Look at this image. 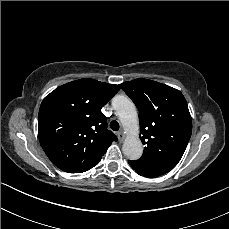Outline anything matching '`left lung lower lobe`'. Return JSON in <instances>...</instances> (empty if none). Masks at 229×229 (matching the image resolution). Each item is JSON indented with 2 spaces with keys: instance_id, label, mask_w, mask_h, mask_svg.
Segmentation results:
<instances>
[{
  "instance_id": "obj_1",
  "label": "left lung lower lobe",
  "mask_w": 229,
  "mask_h": 229,
  "mask_svg": "<svg viewBox=\"0 0 229 229\" xmlns=\"http://www.w3.org/2000/svg\"><path fill=\"white\" fill-rule=\"evenodd\" d=\"M130 166L139 174V175H143L146 177H152L150 174L146 173L145 171L139 169L131 160L128 161Z\"/></svg>"
}]
</instances>
